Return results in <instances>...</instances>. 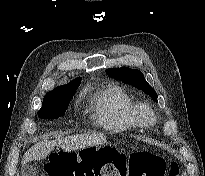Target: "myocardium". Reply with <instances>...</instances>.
<instances>
[{
	"label": "myocardium",
	"mask_w": 205,
	"mask_h": 176,
	"mask_svg": "<svg viewBox=\"0 0 205 176\" xmlns=\"http://www.w3.org/2000/svg\"><path fill=\"white\" fill-rule=\"evenodd\" d=\"M134 116L138 124L144 127H149L156 123L154 111L146 104L136 105L134 108Z\"/></svg>",
	"instance_id": "obj_1"
}]
</instances>
